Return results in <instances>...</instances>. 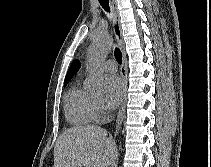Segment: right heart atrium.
Wrapping results in <instances>:
<instances>
[{
    "instance_id": "d8ad5b80",
    "label": "right heart atrium",
    "mask_w": 211,
    "mask_h": 167,
    "mask_svg": "<svg viewBox=\"0 0 211 167\" xmlns=\"http://www.w3.org/2000/svg\"><path fill=\"white\" fill-rule=\"evenodd\" d=\"M92 106L96 119H99L102 115L105 114L106 108L98 97H93Z\"/></svg>"
}]
</instances>
